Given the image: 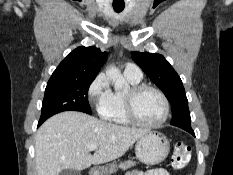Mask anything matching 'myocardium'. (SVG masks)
Instances as JSON below:
<instances>
[{"instance_id": "1", "label": "myocardium", "mask_w": 233, "mask_h": 175, "mask_svg": "<svg viewBox=\"0 0 233 175\" xmlns=\"http://www.w3.org/2000/svg\"><path fill=\"white\" fill-rule=\"evenodd\" d=\"M144 90H152L154 92H156L164 105V112L162 117L154 123H146L141 121L136 114L135 111V100L137 98V96ZM124 107H125V112L126 115L128 117V119L130 120V122L134 125L143 127V128H157L160 127L161 125H163L168 117H169V112H170V104H169V100L166 96V94L159 89L156 86L150 85V84H145V83H141V84H137V85H133L130 87V89L125 93L124 95Z\"/></svg>"}]
</instances>
